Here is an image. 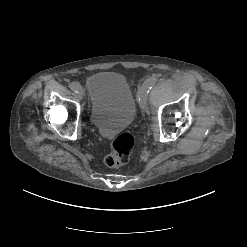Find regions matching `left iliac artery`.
<instances>
[{"instance_id":"44dca946","label":"left iliac artery","mask_w":247,"mask_h":247,"mask_svg":"<svg viewBox=\"0 0 247 247\" xmlns=\"http://www.w3.org/2000/svg\"><path fill=\"white\" fill-rule=\"evenodd\" d=\"M156 82L157 78L151 77L144 82L143 86L146 88L147 92H149V90H151V88L155 85Z\"/></svg>"}]
</instances>
